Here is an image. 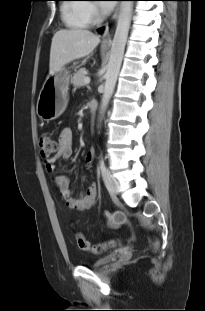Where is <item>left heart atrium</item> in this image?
<instances>
[{
  "mask_svg": "<svg viewBox=\"0 0 205 311\" xmlns=\"http://www.w3.org/2000/svg\"><path fill=\"white\" fill-rule=\"evenodd\" d=\"M112 2H106V3H103L102 7L104 9V11L106 12H110L112 10Z\"/></svg>",
  "mask_w": 205,
  "mask_h": 311,
  "instance_id": "obj_1",
  "label": "left heart atrium"
}]
</instances>
